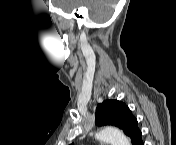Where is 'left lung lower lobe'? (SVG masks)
<instances>
[{
	"mask_svg": "<svg viewBox=\"0 0 176 145\" xmlns=\"http://www.w3.org/2000/svg\"><path fill=\"white\" fill-rule=\"evenodd\" d=\"M141 133L136 137V139L133 141V145H144L142 142V138H141Z\"/></svg>",
	"mask_w": 176,
	"mask_h": 145,
	"instance_id": "1",
	"label": "left lung lower lobe"
}]
</instances>
